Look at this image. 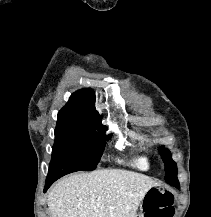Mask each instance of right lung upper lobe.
<instances>
[{"label":"right lung upper lobe","instance_id":"right-lung-upper-lobe-1","mask_svg":"<svg viewBox=\"0 0 211 217\" xmlns=\"http://www.w3.org/2000/svg\"><path fill=\"white\" fill-rule=\"evenodd\" d=\"M57 124L93 126L106 130L95 109V94L89 88L80 89L71 95L68 103L58 113Z\"/></svg>","mask_w":211,"mask_h":217}]
</instances>
